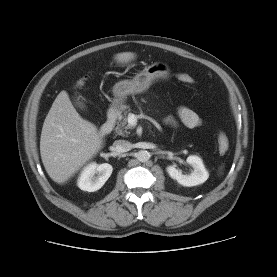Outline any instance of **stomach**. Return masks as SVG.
<instances>
[{
    "mask_svg": "<svg viewBox=\"0 0 277 277\" xmlns=\"http://www.w3.org/2000/svg\"><path fill=\"white\" fill-rule=\"evenodd\" d=\"M169 73L170 69L167 65L156 63L145 67L132 80H123L116 83L113 88L115 96L113 108L116 111H122L128 95L144 92L156 79L168 78Z\"/></svg>",
    "mask_w": 277,
    "mask_h": 277,
    "instance_id": "0dacf381",
    "label": "stomach"
}]
</instances>
